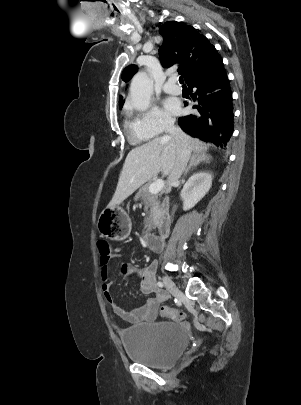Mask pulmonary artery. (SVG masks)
<instances>
[{"label": "pulmonary artery", "instance_id": "obj_1", "mask_svg": "<svg viewBox=\"0 0 301 405\" xmlns=\"http://www.w3.org/2000/svg\"><path fill=\"white\" fill-rule=\"evenodd\" d=\"M164 91L170 94H181L182 89L181 87L177 84L176 78H170L168 81L164 84L163 87Z\"/></svg>", "mask_w": 301, "mask_h": 405}]
</instances>
